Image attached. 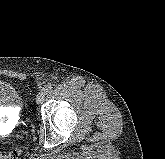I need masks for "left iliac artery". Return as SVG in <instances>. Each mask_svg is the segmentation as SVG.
Instances as JSON below:
<instances>
[{"instance_id":"obj_1","label":"left iliac artery","mask_w":165,"mask_h":159,"mask_svg":"<svg viewBox=\"0 0 165 159\" xmlns=\"http://www.w3.org/2000/svg\"><path fill=\"white\" fill-rule=\"evenodd\" d=\"M52 88H53V85H52V84H48L47 86H45V87L43 88V90H44L46 93H48V92H50V91L52 90Z\"/></svg>"}]
</instances>
